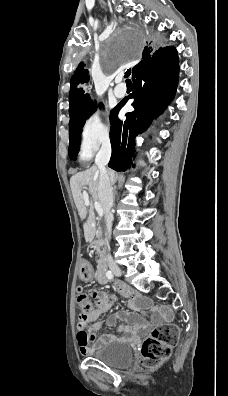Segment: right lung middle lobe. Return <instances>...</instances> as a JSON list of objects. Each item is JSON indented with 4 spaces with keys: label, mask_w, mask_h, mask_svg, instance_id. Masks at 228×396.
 <instances>
[{
    "label": "right lung middle lobe",
    "mask_w": 228,
    "mask_h": 396,
    "mask_svg": "<svg viewBox=\"0 0 228 396\" xmlns=\"http://www.w3.org/2000/svg\"><path fill=\"white\" fill-rule=\"evenodd\" d=\"M100 106H102L100 104ZM96 110V105L93 103L86 109L70 116V122H69V127H70V135H69V152L68 155L72 160L76 159V156L79 151V145H80V135H81V128L83 127L86 119ZM115 108L111 112V117L114 112ZM110 117V120H111Z\"/></svg>",
    "instance_id": "right-lung-middle-lobe-1"
}]
</instances>
